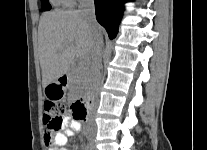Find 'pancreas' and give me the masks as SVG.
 <instances>
[{
    "instance_id": "1",
    "label": "pancreas",
    "mask_w": 207,
    "mask_h": 150,
    "mask_svg": "<svg viewBox=\"0 0 207 150\" xmlns=\"http://www.w3.org/2000/svg\"><path fill=\"white\" fill-rule=\"evenodd\" d=\"M88 65V62L86 64L79 63L78 67L73 70L74 76L70 79L71 93L82 92V90L88 88L91 81Z\"/></svg>"
}]
</instances>
